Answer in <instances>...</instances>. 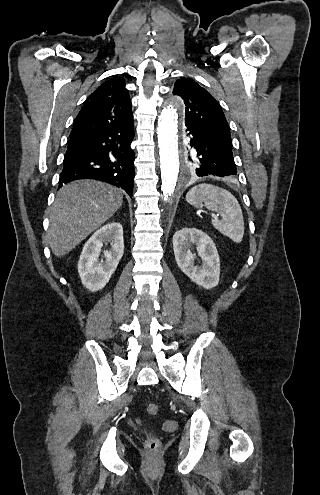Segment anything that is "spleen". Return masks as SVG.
<instances>
[{
	"label": "spleen",
	"instance_id": "3e777b00",
	"mask_svg": "<svg viewBox=\"0 0 320 495\" xmlns=\"http://www.w3.org/2000/svg\"><path fill=\"white\" fill-rule=\"evenodd\" d=\"M186 201L195 207L204 203L208 210L220 214L221 220H212L213 227L234 243L242 241L245 229L242 209L237 199L229 191L203 183L188 191Z\"/></svg>",
	"mask_w": 320,
	"mask_h": 495
}]
</instances>
